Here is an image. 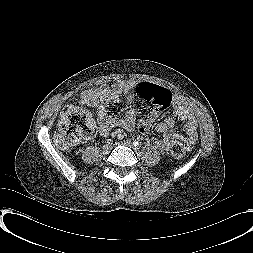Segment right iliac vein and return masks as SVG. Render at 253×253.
Returning a JSON list of instances; mask_svg holds the SVG:
<instances>
[{"label": "right iliac vein", "mask_w": 253, "mask_h": 253, "mask_svg": "<svg viewBox=\"0 0 253 253\" xmlns=\"http://www.w3.org/2000/svg\"><path fill=\"white\" fill-rule=\"evenodd\" d=\"M112 150V146L111 145H104L103 148H102V152L103 154H109L110 151Z\"/></svg>", "instance_id": "right-iliac-vein-1"}]
</instances>
